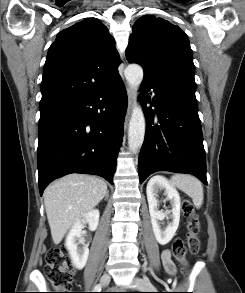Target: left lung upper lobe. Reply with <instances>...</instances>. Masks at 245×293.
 <instances>
[{"label": "left lung upper lobe", "mask_w": 245, "mask_h": 293, "mask_svg": "<svg viewBox=\"0 0 245 293\" xmlns=\"http://www.w3.org/2000/svg\"><path fill=\"white\" fill-rule=\"evenodd\" d=\"M126 58L142 66L143 81L197 102L191 47L178 26L162 18L142 16L133 26Z\"/></svg>", "instance_id": "left-lung-upper-lobe-1"}]
</instances>
